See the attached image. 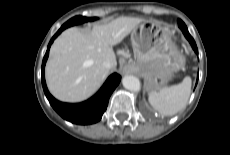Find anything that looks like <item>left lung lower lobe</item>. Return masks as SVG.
<instances>
[{
	"instance_id": "obj_1",
	"label": "left lung lower lobe",
	"mask_w": 230,
	"mask_h": 155,
	"mask_svg": "<svg viewBox=\"0 0 230 155\" xmlns=\"http://www.w3.org/2000/svg\"><path fill=\"white\" fill-rule=\"evenodd\" d=\"M183 34L187 38V40L190 42L195 53L198 55V49H197L196 43H195L194 39L192 38V36L189 34V32L187 30L183 31Z\"/></svg>"
}]
</instances>
